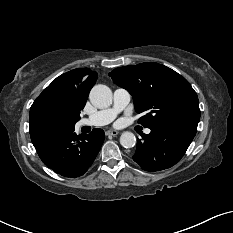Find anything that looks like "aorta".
<instances>
[{"mask_svg":"<svg viewBox=\"0 0 233 233\" xmlns=\"http://www.w3.org/2000/svg\"><path fill=\"white\" fill-rule=\"evenodd\" d=\"M91 103L97 108H107L112 104V91L106 85H95L89 95ZM120 144L124 148L134 147L136 144V137L132 132H124L120 136Z\"/></svg>","mask_w":233,"mask_h":233,"instance_id":"aorta-1","label":"aorta"}]
</instances>
